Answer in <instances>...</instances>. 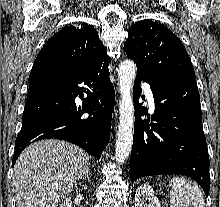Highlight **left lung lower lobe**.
<instances>
[{"label":"left lung lower lobe","mask_w":220,"mask_h":207,"mask_svg":"<svg viewBox=\"0 0 220 207\" xmlns=\"http://www.w3.org/2000/svg\"><path fill=\"white\" fill-rule=\"evenodd\" d=\"M150 84L155 111L152 120H141L147 108L138 102L140 82ZM135 117L131 151V181L158 174H182L196 180L208 196L209 156L202 127L199 92L195 78L170 74L151 79L138 72L134 84ZM150 120V116H147Z\"/></svg>","instance_id":"left-lung-lower-lobe-1"}]
</instances>
